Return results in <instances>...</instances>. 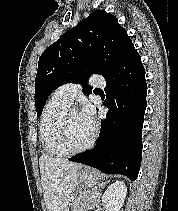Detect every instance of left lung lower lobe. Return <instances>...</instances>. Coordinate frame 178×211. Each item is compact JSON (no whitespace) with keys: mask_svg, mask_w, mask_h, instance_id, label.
<instances>
[{"mask_svg":"<svg viewBox=\"0 0 178 211\" xmlns=\"http://www.w3.org/2000/svg\"><path fill=\"white\" fill-rule=\"evenodd\" d=\"M105 79L104 106L109 111L101 121L97 145L69 160L134 181L141 165L142 126L147 105L145 69L134 47Z\"/></svg>","mask_w":178,"mask_h":211,"instance_id":"left-lung-lower-lobe-1","label":"left lung lower lobe"}]
</instances>
